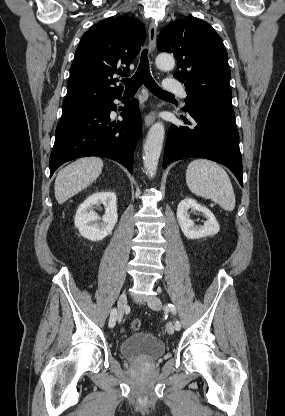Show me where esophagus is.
Here are the masks:
<instances>
[{
	"label": "esophagus",
	"instance_id": "34e87169",
	"mask_svg": "<svg viewBox=\"0 0 285 416\" xmlns=\"http://www.w3.org/2000/svg\"><path fill=\"white\" fill-rule=\"evenodd\" d=\"M148 38H149V50H150V53L153 54L155 51V47H156V26L153 21L150 23V26H149ZM154 120H155L154 113L151 112L147 114L144 119L145 126L146 127L151 126Z\"/></svg>",
	"mask_w": 285,
	"mask_h": 416
}]
</instances>
